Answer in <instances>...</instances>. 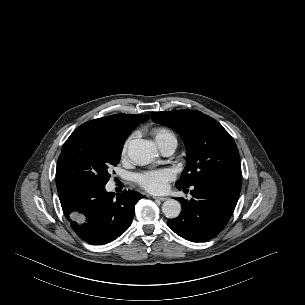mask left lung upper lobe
Masks as SVG:
<instances>
[{
  "instance_id": "left-lung-upper-lobe-1",
  "label": "left lung upper lobe",
  "mask_w": 305,
  "mask_h": 305,
  "mask_svg": "<svg viewBox=\"0 0 305 305\" xmlns=\"http://www.w3.org/2000/svg\"><path fill=\"white\" fill-rule=\"evenodd\" d=\"M150 115L154 122L178 132L185 143L186 167L176 187L188 188L210 177L241 173L237 146L215 119L195 110Z\"/></svg>"
}]
</instances>
